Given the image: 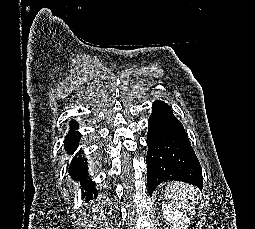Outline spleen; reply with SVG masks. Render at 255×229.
Instances as JSON below:
<instances>
[{
    "label": "spleen",
    "instance_id": "obj_1",
    "mask_svg": "<svg viewBox=\"0 0 255 229\" xmlns=\"http://www.w3.org/2000/svg\"><path fill=\"white\" fill-rule=\"evenodd\" d=\"M165 196L178 208L194 211L198 203V190L195 186L183 182H171L167 185Z\"/></svg>",
    "mask_w": 255,
    "mask_h": 229
}]
</instances>
